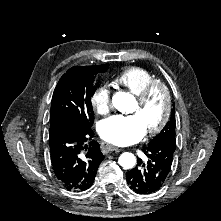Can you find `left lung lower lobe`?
Instances as JSON below:
<instances>
[{"label": "left lung lower lobe", "instance_id": "left-lung-lower-lobe-1", "mask_svg": "<svg viewBox=\"0 0 221 221\" xmlns=\"http://www.w3.org/2000/svg\"><path fill=\"white\" fill-rule=\"evenodd\" d=\"M176 144L169 140L148 145L143 149L150 158L145 164L138 160L137 167L126 174V180L130 188L138 194H151L158 191L166 182Z\"/></svg>", "mask_w": 221, "mask_h": 221}]
</instances>
